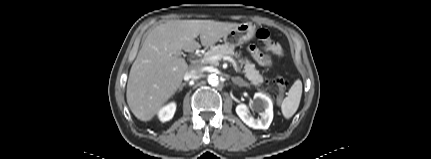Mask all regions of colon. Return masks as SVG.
<instances>
[{
    "mask_svg": "<svg viewBox=\"0 0 431 159\" xmlns=\"http://www.w3.org/2000/svg\"><path fill=\"white\" fill-rule=\"evenodd\" d=\"M257 38L260 39L263 44L265 46L271 47L274 45V41L270 38V34L267 30L265 29H259L257 31ZM274 84L276 86L277 89V94H276V98L277 99H282L286 90V86H287V82L286 80L281 77V76H277L274 79Z\"/></svg>",
    "mask_w": 431,
    "mask_h": 159,
    "instance_id": "5ec220e1",
    "label": "colon"
}]
</instances>
